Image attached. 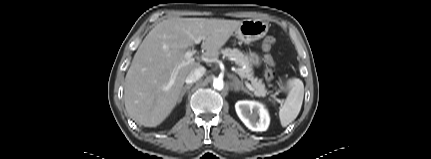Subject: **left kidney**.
I'll return each instance as SVG.
<instances>
[{
	"mask_svg": "<svg viewBox=\"0 0 431 159\" xmlns=\"http://www.w3.org/2000/svg\"><path fill=\"white\" fill-rule=\"evenodd\" d=\"M235 109L238 117L250 130H267L270 117L263 104L257 101L242 100L235 104Z\"/></svg>",
	"mask_w": 431,
	"mask_h": 159,
	"instance_id": "5707ae66",
	"label": "left kidney"
}]
</instances>
